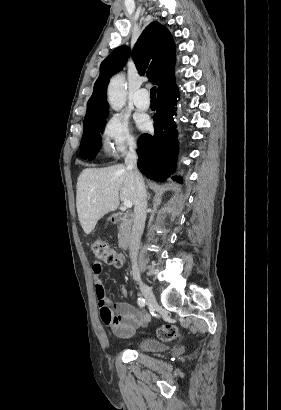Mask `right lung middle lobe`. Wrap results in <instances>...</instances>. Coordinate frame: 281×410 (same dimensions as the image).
<instances>
[{
  "label": "right lung middle lobe",
  "mask_w": 281,
  "mask_h": 410,
  "mask_svg": "<svg viewBox=\"0 0 281 410\" xmlns=\"http://www.w3.org/2000/svg\"><path fill=\"white\" fill-rule=\"evenodd\" d=\"M107 115L84 123V133L80 146L84 159L91 160L97 156L101 144V133L104 130Z\"/></svg>",
  "instance_id": "obj_1"
}]
</instances>
